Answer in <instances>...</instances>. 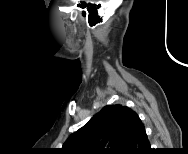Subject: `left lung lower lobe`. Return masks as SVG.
<instances>
[{
    "label": "left lung lower lobe",
    "mask_w": 188,
    "mask_h": 154,
    "mask_svg": "<svg viewBox=\"0 0 188 154\" xmlns=\"http://www.w3.org/2000/svg\"><path fill=\"white\" fill-rule=\"evenodd\" d=\"M150 143L147 138L145 128L139 116L134 113L132 117V125L130 136L125 148V154H148Z\"/></svg>",
    "instance_id": "1"
}]
</instances>
